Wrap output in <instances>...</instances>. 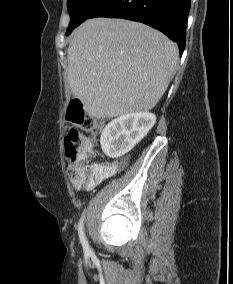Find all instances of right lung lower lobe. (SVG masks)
<instances>
[{
	"label": "right lung lower lobe",
	"mask_w": 233,
	"mask_h": 284,
	"mask_svg": "<svg viewBox=\"0 0 233 284\" xmlns=\"http://www.w3.org/2000/svg\"><path fill=\"white\" fill-rule=\"evenodd\" d=\"M191 0H108L89 18L110 17L142 22L163 32L182 55Z\"/></svg>",
	"instance_id": "right-lung-lower-lobe-1"
}]
</instances>
